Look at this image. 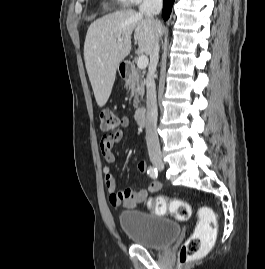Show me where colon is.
Returning a JSON list of instances; mask_svg holds the SVG:
<instances>
[{"mask_svg": "<svg viewBox=\"0 0 265 269\" xmlns=\"http://www.w3.org/2000/svg\"><path fill=\"white\" fill-rule=\"evenodd\" d=\"M101 129L108 135L116 134L121 129V121L115 113L107 108L99 112ZM149 208L156 214L171 213L179 220H186L191 213L190 204L179 199H169L160 195L149 200ZM201 221L196 226L193 234L183 243L179 264L184 265L188 261L199 256L204 249L213 243L216 233V216L209 208H200Z\"/></svg>", "mask_w": 265, "mask_h": 269, "instance_id": "5ec220e1", "label": "colon"}]
</instances>
